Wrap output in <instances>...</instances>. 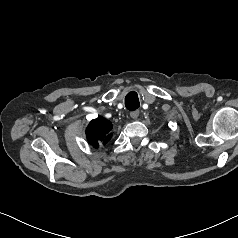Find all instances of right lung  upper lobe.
I'll return each instance as SVG.
<instances>
[{
  "label": "right lung upper lobe",
  "instance_id": "obj_1",
  "mask_svg": "<svg viewBox=\"0 0 238 238\" xmlns=\"http://www.w3.org/2000/svg\"><path fill=\"white\" fill-rule=\"evenodd\" d=\"M112 130V123L104 118H97L90 122L86 129L87 140L94 147L99 144H106L112 137L110 131Z\"/></svg>",
  "mask_w": 238,
  "mask_h": 238
}]
</instances>
